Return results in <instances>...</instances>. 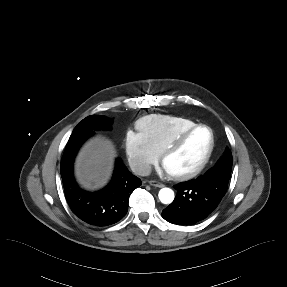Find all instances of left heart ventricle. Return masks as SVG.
Masks as SVG:
<instances>
[{
    "instance_id": "b2bd125f",
    "label": "left heart ventricle",
    "mask_w": 287,
    "mask_h": 287,
    "mask_svg": "<svg viewBox=\"0 0 287 287\" xmlns=\"http://www.w3.org/2000/svg\"><path fill=\"white\" fill-rule=\"evenodd\" d=\"M210 140L207 129L200 128L194 131L179 149L165 159L163 167L166 172L179 174L194 169L205 156Z\"/></svg>"
}]
</instances>
